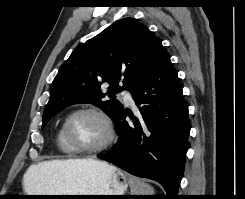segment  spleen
<instances>
[{
    "label": "spleen",
    "instance_id": "spleen-1",
    "mask_svg": "<svg viewBox=\"0 0 245 199\" xmlns=\"http://www.w3.org/2000/svg\"><path fill=\"white\" fill-rule=\"evenodd\" d=\"M128 183L131 195H154L153 187L137 177L128 176Z\"/></svg>",
    "mask_w": 245,
    "mask_h": 199
}]
</instances>
